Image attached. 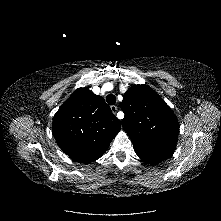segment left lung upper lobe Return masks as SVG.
<instances>
[{
    "label": "left lung upper lobe",
    "mask_w": 221,
    "mask_h": 221,
    "mask_svg": "<svg viewBox=\"0 0 221 221\" xmlns=\"http://www.w3.org/2000/svg\"><path fill=\"white\" fill-rule=\"evenodd\" d=\"M124 130L136 154L156 165L170 157L176 146L179 124L165 101L147 85H134L123 96Z\"/></svg>",
    "instance_id": "left-lung-upper-lobe-1"
}]
</instances>
